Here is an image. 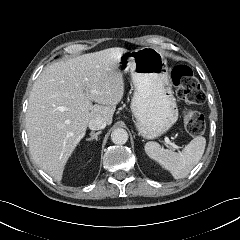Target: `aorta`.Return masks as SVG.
Returning a JSON list of instances; mask_svg holds the SVG:
<instances>
[{
    "instance_id": "aorta-1",
    "label": "aorta",
    "mask_w": 240,
    "mask_h": 240,
    "mask_svg": "<svg viewBox=\"0 0 240 240\" xmlns=\"http://www.w3.org/2000/svg\"><path fill=\"white\" fill-rule=\"evenodd\" d=\"M111 140L114 144L123 145L128 140V133L123 128H117L112 132Z\"/></svg>"
}]
</instances>
